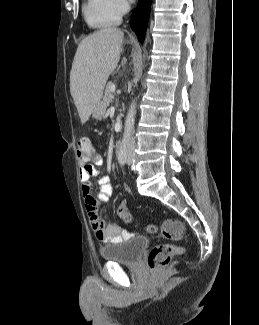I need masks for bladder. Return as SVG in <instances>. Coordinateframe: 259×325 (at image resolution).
Instances as JSON below:
<instances>
[{
	"mask_svg": "<svg viewBox=\"0 0 259 325\" xmlns=\"http://www.w3.org/2000/svg\"><path fill=\"white\" fill-rule=\"evenodd\" d=\"M149 245L145 236H135L120 243L105 245L100 248V255L106 261L133 265L141 258Z\"/></svg>",
	"mask_w": 259,
	"mask_h": 325,
	"instance_id": "1",
	"label": "bladder"
}]
</instances>
